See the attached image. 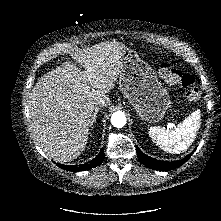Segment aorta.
Segmentation results:
<instances>
[{
    "mask_svg": "<svg viewBox=\"0 0 221 221\" xmlns=\"http://www.w3.org/2000/svg\"><path fill=\"white\" fill-rule=\"evenodd\" d=\"M126 116L123 112L117 111L111 116V123L116 128H122L126 124Z\"/></svg>",
    "mask_w": 221,
    "mask_h": 221,
    "instance_id": "1",
    "label": "aorta"
}]
</instances>
